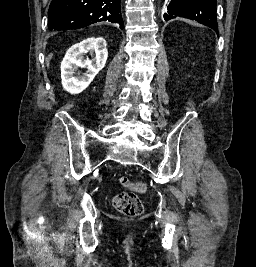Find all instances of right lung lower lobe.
<instances>
[{"instance_id": "obj_1", "label": "right lung lower lobe", "mask_w": 256, "mask_h": 267, "mask_svg": "<svg viewBox=\"0 0 256 267\" xmlns=\"http://www.w3.org/2000/svg\"><path fill=\"white\" fill-rule=\"evenodd\" d=\"M48 16L49 30L79 29L101 21L123 29L120 0H52Z\"/></svg>"}]
</instances>
